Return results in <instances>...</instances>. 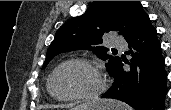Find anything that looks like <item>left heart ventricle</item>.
Returning <instances> with one entry per match:
<instances>
[{"mask_svg":"<svg viewBox=\"0 0 171 110\" xmlns=\"http://www.w3.org/2000/svg\"><path fill=\"white\" fill-rule=\"evenodd\" d=\"M99 78L90 68L70 64L61 68L54 77L53 90L59 96L86 94L95 91Z\"/></svg>","mask_w":171,"mask_h":110,"instance_id":"b2bd125f","label":"left heart ventricle"}]
</instances>
